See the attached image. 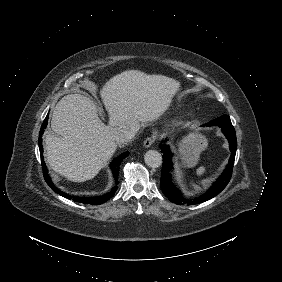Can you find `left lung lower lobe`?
<instances>
[{"label": "left lung lower lobe", "mask_w": 282, "mask_h": 282, "mask_svg": "<svg viewBox=\"0 0 282 282\" xmlns=\"http://www.w3.org/2000/svg\"><path fill=\"white\" fill-rule=\"evenodd\" d=\"M206 126L216 125L222 129V132L226 136L229 141V148L231 151V157L229 159V163L226 166V169L223 171L221 176L218 177L217 181L213 184V186L203 195L195 199H186L182 196L180 191L175 187L172 183L170 171L172 170V156L169 146L166 144H160L161 151L163 153V165H162V174L160 180V187L164 193V195L173 203L178 205H193L198 204L204 201H207L217 194H219L230 181L233 164L235 160V154L237 149V140L234 127L230 121V117L227 115H223L209 123L205 124ZM163 143V141H162Z\"/></svg>", "instance_id": "left-lung-lower-lobe-1"}]
</instances>
